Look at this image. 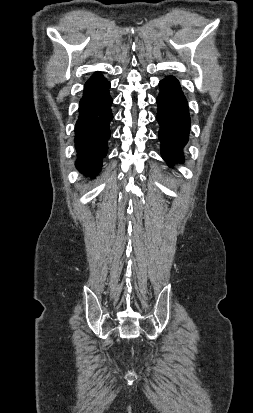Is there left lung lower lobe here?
<instances>
[{
  "label": "left lung lower lobe",
  "mask_w": 253,
  "mask_h": 413,
  "mask_svg": "<svg viewBox=\"0 0 253 413\" xmlns=\"http://www.w3.org/2000/svg\"><path fill=\"white\" fill-rule=\"evenodd\" d=\"M160 93L156 99L160 124L158 134L161 142V154L170 165L183 163V148L188 142L190 131V116L187 100L179 82L173 76H168L159 83Z\"/></svg>",
  "instance_id": "0a47b994"
}]
</instances>
